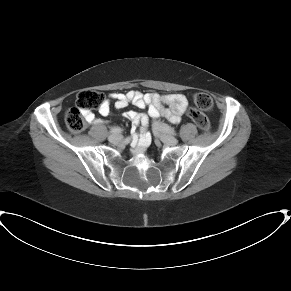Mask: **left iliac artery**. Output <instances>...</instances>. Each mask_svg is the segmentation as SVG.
<instances>
[{"label": "left iliac artery", "mask_w": 291, "mask_h": 291, "mask_svg": "<svg viewBox=\"0 0 291 291\" xmlns=\"http://www.w3.org/2000/svg\"><path fill=\"white\" fill-rule=\"evenodd\" d=\"M163 129H164V131H166V132H168L170 134L176 135V131L172 127L167 125V124L163 125Z\"/></svg>", "instance_id": "1"}]
</instances>
